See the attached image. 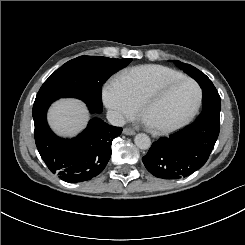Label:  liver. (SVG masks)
<instances>
[{
	"label": "liver",
	"instance_id": "obj_1",
	"mask_svg": "<svg viewBox=\"0 0 245 245\" xmlns=\"http://www.w3.org/2000/svg\"><path fill=\"white\" fill-rule=\"evenodd\" d=\"M88 120L85 104L76 99L57 101L48 113L50 126L61 136H74L86 126Z\"/></svg>",
	"mask_w": 245,
	"mask_h": 245
}]
</instances>
